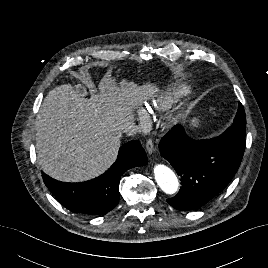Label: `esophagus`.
I'll return each instance as SVG.
<instances>
[{
    "mask_svg": "<svg viewBox=\"0 0 268 268\" xmlns=\"http://www.w3.org/2000/svg\"><path fill=\"white\" fill-rule=\"evenodd\" d=\"M145 147H146V150L149 154H152L154 152L155 146H154L152 139H148L146 141Z\"/></svg>",
    "mask_w": 268,
    "mask_h": 268,
    "instance_id": "obj_1",
    "label": "esophagus"
}]
</instances>
